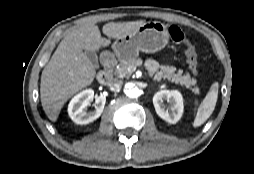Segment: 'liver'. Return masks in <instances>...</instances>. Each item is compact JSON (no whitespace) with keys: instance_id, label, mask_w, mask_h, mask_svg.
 <instances>
[{"instance_id":"6515ba94","label":"liver","mask_w":254,"mask_h":174,"mask_svg":"<svg viewBox=\"0 0 254 174\" xmlns=\"http://www.w3.org/2000/svg\"><path fill=\"white\" fill-rule=\"evenodd\" d=\"M144 20L132 22H110L103 26V33L113 39L132 34ZM110 41L101 37L94 23H87L70 31L60 42L42 71L40 83L41 104L47 117L55 122L67 100L90 85L96 70L83 50L97 51L109 46Z\"/></svg>"}]
</instances>
